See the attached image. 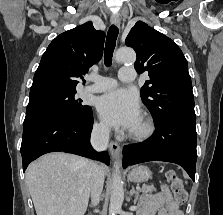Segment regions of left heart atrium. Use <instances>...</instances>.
Masks as SVG:
<instances>
[{
  "label": "left heart atrium",
  "mask_w": 223,
  "mask_h": 215,
  "mask_svg": "<svg viewBox=\"0 0 223 215\" xmlns=\"http://www.w3.org/2000/svg\"><path fill=\"white\" fill-rule=\"evenodd\" d=\"M96 106L103 121L115 128H132L140 117L139 99L132 90L106 93L97 99Z\"/></svg>",
  "instance_id": "left-heart-atrium-1"
}]
</instances>
